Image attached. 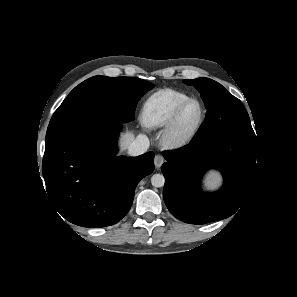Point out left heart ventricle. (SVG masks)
<instances>
[{
  "label": "left heart ventricle",
  "mask_w": 297,
  "mask_h": 297,
  "mask_svg": "<svg viewBox=\"0 0 297 297\" xmlns=\"http://www.w3.org/2000/svg\"><path fill=\"white\" fill-rule=\"evenodd\" d=\"M200 115V108L197 103H190L183 110L180 120H179V129L182 132L188 131L191 129Z\"/></svg>",
  "instance_id": "left-heart-ventricle-1"
}]
</instances>
